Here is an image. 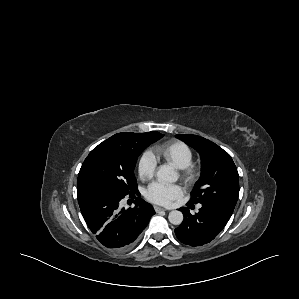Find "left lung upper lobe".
Listing matches in <instances>:
<instances>
[{"instance_id":"left-lung-upper-lobe-1","label":"left lung upper lobe","mask_w":299,"mask_h":299,"mask_svg":"<svg viewBox=\"0 0 299 299\" xmlns=\"http://www.w3.org/2000/svg\"><path fill=\"white\" fill-rule=\"evenodd\" d=\"M176 137L195 148L201 156V177L189 203L215 205L232 215L239 196V175L231 156L203 137L188 134Z\"/></svg>"}]
</instances>
